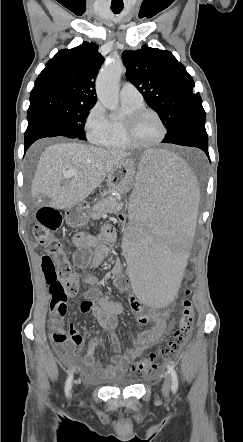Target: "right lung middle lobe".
I'll list each match as a JSON object with an SVG mask.
<instances>
[{"label": "right lung middle lobe", "instance_id": "right-lung-middle-lobe-1", "mask_svg": "<svg viewBox=\"0 0 243 442\" xmlns=\"http://www.w3.org/2000/svg\"><path fill=\"white\" fill-rule=\"evenodd\" d=\"M91 104L81 103L72 98L57 94L30 97L27 111L28 121L42 118L66 128L74 138L86 140L84 134L85 120Z\"/></svg>", "mask_w": 243, "mask_h": 442}]
</instances>
